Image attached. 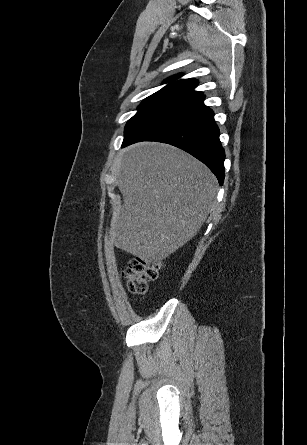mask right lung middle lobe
I'll return each instance as SVG.
<instances>
[{"mask_svg": "<svg viewBox=\"0 0 307 445\" xmlns=\"http://www.w3.org/2000/svg\"><path fill=\"white\" fill-rule=\"evenodd\" d=\"M180 99L159 96L147 97L138 107L139 111L127 122L124 136L129 137L147 124L153 122L184 104Z\"/></svg>", "mask_w": 307, "mask_h": 445, "instance_id": "dd1d6c3e", "label": "right lung middle lobe"}]
</instances>
